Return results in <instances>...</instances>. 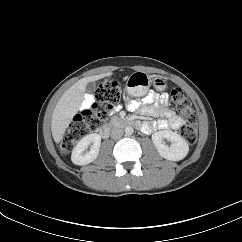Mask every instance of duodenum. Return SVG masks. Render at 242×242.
Segmentation results:
<instances>
[{
    "label": "duodenum",
    "mask_w": 242,
    "mask_h": 242,
    "mask_svg": "<svg viewBox=\"0 0 242 242\" xmlns=\"http://www.w3.org/2000/svg\"><path fill=\"white\" fill-rule=\"evenodd\" d=\"M111 125H114V126H134V122L132 120H113ZM110 131H111V126L110 125H105L101 132H100V135L103 137V138H107L110 134Z\"/></svg>",
    "instance_id": "duodenum-1"
}]
</instances>
